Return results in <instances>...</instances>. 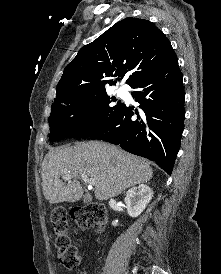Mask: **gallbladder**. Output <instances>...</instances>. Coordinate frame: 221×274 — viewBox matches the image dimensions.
<instances>
[{
	"mask_svg": "<svg viewBox=\"0 0 221 274\" xmlns=\"http://www.w3.org/2000/svg\"><path fill=\"white\" fill-rule=\"evenodd\" d=\"M91 201V197L89 196V195H85L84 196V199H83V202L84 203H88V202H90Z\"/></svg>",
	"mask_w": 221,
	"mask_h": 274,
	"instance_id": "gallbladder-1",
	"label": "gallbladder"
}]
</instances>
